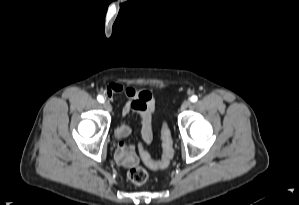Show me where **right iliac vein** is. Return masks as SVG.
I'll return each mask as SVG.
<instances>
[{"mask_svg": "<svg viewBox=\"0 0 299 205\" xmlns=\"http://www.w3.org/2000/svg\"><path fill=\"white\" fill-rule=\"evenodd\" d=\"M103 106H104V108L108 111V112H111L112 111V106H111V104L109 103V102H104L103 103Z\"/></svg>", "mask_w": 299, "mask_h": 205, "instance_id": "right-iliac-vein-1", "label": "right iliac vein"}]
</instances>
